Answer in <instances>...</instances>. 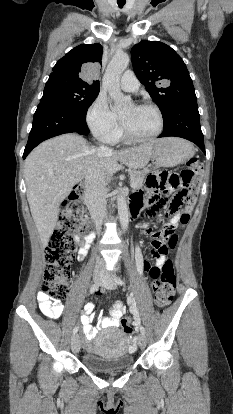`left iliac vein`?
I'll list each match as a JSON object with an SVG mask.
<instances>
[{
  "instance_id": "obj_1",
  "label": "left iliac vein",
  "mask_w": 233,
  "mask_h": 414,
  "mask_svg": "<svg viewBox=\"0 0 233 414\" xmlns=\"http://www.w3.org/2000/svg\"><path fill=\"white\" fill-rule=\"evenodd\" d=\"M101 284L106 289L112 290V289H115L116 288L115 280H114V278L109 273H106V274L103 275ZM146 343H147L146 336L143 333H141L138 336V345H139V347L141 349H144L146 347Z\"/></svg>"
}]
</instances>
